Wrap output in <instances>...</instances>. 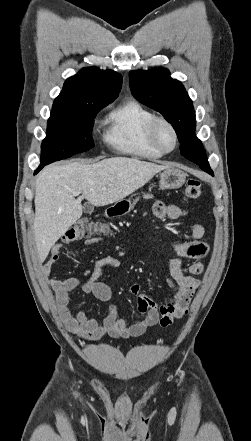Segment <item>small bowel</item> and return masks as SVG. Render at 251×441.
<instances>
[{
  "mask_svg": "<svg viewBox=\"0 0 251 441\" xmlns=\"http://www.w3.org/2000/svg\"><path fill=\"white\" fill-rule=\"evenodd\" d=\"M153 213L158 218L179 219L185 217L186 210L176 206L168 205L157 201L153 206ZM204 228L200 224H194L190 229L191 241L173 244L175 257L166 259V274L169 285L176 289L174 299L165 305L158 306L154 300L146 295L140 284L134 283L129 287V292L136 296L137 307L144 316L140 320L127 325L123 319L118 318V307L113 303L111 288L105 283L99 282L107 268H118L121 262L113 256H106L97 259L90 270L87 280L83 283L82 289L86 294L94 295L98 300L108 302V313L101 319L88 317L85 312L74 313L70 308V294L81 285V280L71 277L60 280L51 277L53 266L60 258L61 244H56L51 250L49 259L41 266L40 273L44 281L53 291L57 309L61 320L67 330L87 341H96L105 334L113 338H134L139 337L145 331L155 325L167 327L175 319L187 314L193 295L199 287L200 280L196 278L204 270L201 259L209 250L208 244L202 240ZM101 241L93 237L85 241L86 245H92ZM191 262L186 268L183 267V260Z\"/></svg>",
  "mask_w": 251,
  "mask_h": 441,
  "instance_id": "small-bowel-1",
  "label": "small bowel"
}]
</instances>
